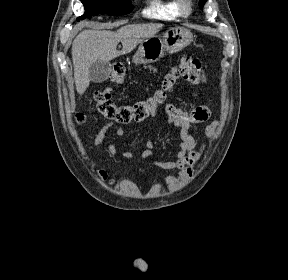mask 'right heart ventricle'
<instances>
[{
  "label": "right heart ventricle",
  "mask_w": 288,
  "mask_h": 280,
  "mask_svg": "<svg viewBox=\"0 0 288 280\" xmlns=\"http://www.w3.org/2000/svg\"><path fill=\"white\" fill-rule=\"evenodd\" d=\"M143 14L160 20H174L180 16L176 0H149Z\"/></svg>",
  "instance_id": "obj_1"
}]
</instances>
